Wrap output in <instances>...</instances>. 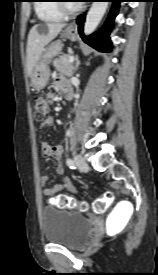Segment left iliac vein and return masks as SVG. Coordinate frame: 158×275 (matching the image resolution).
Returning <instances> with one entry per match:
<instances>
[{
  "instance_id": "1",
  "label": "left iliac vein",
  "mask_w": 158,
  "mask_h": 275,
  "mask_svg": "<svg viewBox=\"0 0 158 275\" xmlns=\"http://www.w3.org/2000/svg\"><path fill=\"white\" fill-rule=\"evenodd\" d=\"M74 162H75L76 167L80 171H87L89 169L86 160L80 155H75L74 156Z\"/></svg>"
}]
</instances>
